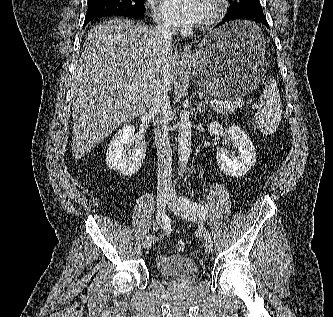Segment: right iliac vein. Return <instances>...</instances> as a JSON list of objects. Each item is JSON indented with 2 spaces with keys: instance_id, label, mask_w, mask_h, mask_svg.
I'll return each mask as SVG.
<instances>
[{
  "instance_id": "63e3f726",
  "label": "right iliac vein",
  "mask_w": 333,
  "mask_h": 317,
  "mask_svg": "<svg viewBox=\"0 0 333 317\" xmlns=\"http://www.w3.org/2000/svg\"><path fill=\"white\" fill-rule=\"evenodd\" d=\"M169 198V193L165 190H159L157 193V201H158V209L160 213H163ZM154 241L146 239L143 242V247L145 249H150L153 245Z\"/></svg>"
}]
</instances>
